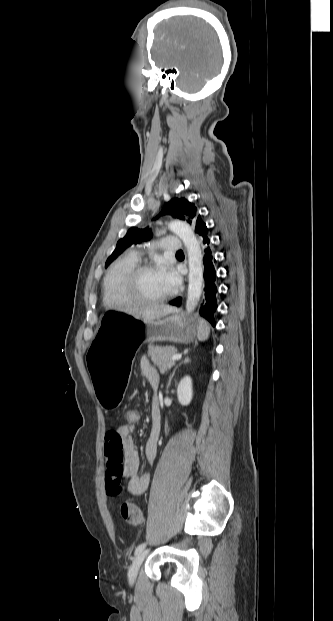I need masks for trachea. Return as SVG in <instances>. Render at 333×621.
<instances>
[{"label": "trachea", "mask_w": 333, "mask_h": 621, "mask_svg": "<svg viewBox=\"0 0 333 621\" xmlns=\"http://www.w3.org/2000/svg\"><path fill=\"white\" fill-rule=\"evenodd\" d=\"M182 253H183V251H182V250H180V251H178L176 254H182Z\"/></svg>", "instance_id": "obj_1"}]
</instances>
